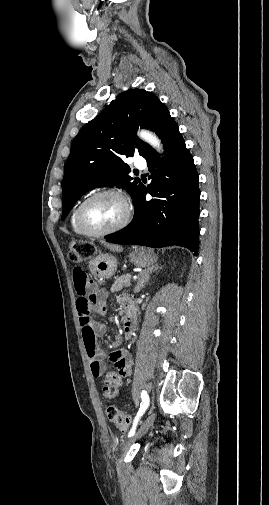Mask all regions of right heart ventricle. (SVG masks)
<instances>
[{"mask_svg": "<svg viewBox=\"0 0 269 505\" xmlns=\"http://www.w3.org/2000/svg\"><path fill=\"white\" fill-rule=\"evenodd\" d=\"M80 204L81 203L76 205V207L73 209V211L70 215V226L75 234L80 235V236H85L86 234L79 228L77 221H76V214H77V210H78V207L80 206Z\"/></svg>", "mask_w": 269, "mask_h": 505, "instance_id": "e07e8e85", "label": "right heart ventricle"}]
</instances>
